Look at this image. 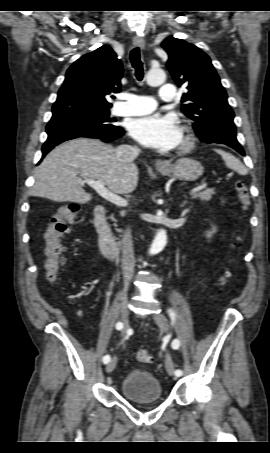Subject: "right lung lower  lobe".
Masks as SVG:
<instances>
[{
	"label": "right lung lower lobe",
	"mask_w": 270,
	"mask_h": 453,
	"mask_svg": "<svg viewBox=\"0 0 270 453\" xmlns=\"http://www.w3.org/2000/svg\"><path fill=\"white\" fill-rule=\"evenodd\" d=\"M48 138L42 147V158L56 145L77 137L98 138L104 142L113 141L124 134L121 127H93L77 123H49L46 127Z\"/></svg>",
	"instance_id": "1"
}]
</instances>
